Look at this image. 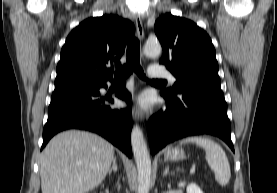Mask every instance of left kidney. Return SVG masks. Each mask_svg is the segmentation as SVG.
I'll use <instances>...</instances> for the list:
<instances>
[{"label": "left kidney", "mask_w": 277, "mask_h": 193, "mask_svg": "<svg viewBox=\"0 0 277 193\" xmlns=\"http://www.w3.org/2000/svg\"><path fill=\"white\" fill-rule=\"evenodd\" d=\"M185 182H180L179 186H184ZM187 193H203V191L195 184L190 183L187 185Z\"/></svg>", "instance_id": "1"}]
</instances>
